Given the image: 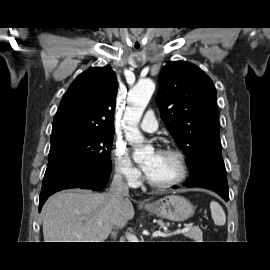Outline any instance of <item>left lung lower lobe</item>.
Masks as SVG:
<instances>
[{"label": "left lung lower lobe", "instance_id": "left-lung-lower-lobe-1", "mask_svg": "<svg viewBox=\"0 0 270 270\" xmlns=\"http://www.w3.org/2000/svg\"><path fill=\"white\" fill-rule=\"evenodd\" d=\"M186 187H202L217 192L225 201L229 200L228 183L224 164H210L195 177L184 183ZM177 188V186H173Z\"/></svg>", "mask_w": 270, "mask_h": 270}]
</instances>
